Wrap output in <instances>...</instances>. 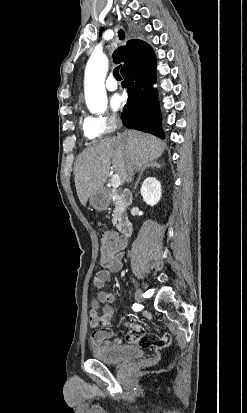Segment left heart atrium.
<instances>
[{
	"mask_svg": "<svg viewBox=\"0 0 247 413\" xmlns=\"http://www.w3.org/2000/svg\"><path fill=\"white\" fill-rule=\"evenodd\" d=\"M110 104L114 110H120L123 107L124 100L120 95H114L110 99Z\"/></svg>",
	"mask_w": 247,
	"mask_h": 413,
	"instance_id": "39dd6f15",
	"label": "left heart atrium"
}]
</instances>
